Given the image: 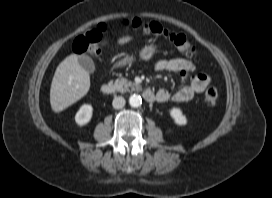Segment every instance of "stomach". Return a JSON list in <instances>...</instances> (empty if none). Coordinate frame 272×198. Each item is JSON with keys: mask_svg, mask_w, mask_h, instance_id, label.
<instances>
[{"mask_svg": "<svg viewBox=\"0 0 272 198\" xmlns=\"http://www.w3.org/2000/svg\"><path fill=\"white\" fill-rule=\"evenodd\" d=\"M157 49V46L154 43H150L145 45L141 50H140V58L142 60H150L153 55L155 54ZM134 61L133 56H126L123 59H121L118 63L117 66H125L127 64H130Z\"/></svg>", "mask_w": 272, "mask_h": 198, "instance_id": "1", "label": "stomach"}]
</instances>
